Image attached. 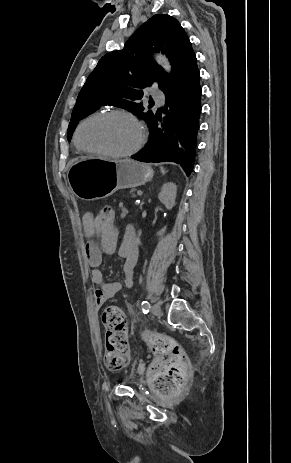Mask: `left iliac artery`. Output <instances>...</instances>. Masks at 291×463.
<instances>
[{
	"mask_svg": "<svg viewBox=\"0 0 291 463\" xmlns=\"http://www.w3.org/2000/svg\"><path fill=\"white\" fill-rule=\"evenodd\" d=\"M141 306H142L143 313L147 314L149 312V309H150V303L147 300H144V301H142Z\"/></svg>",
	"mask_w": 291,
	"mask_h": 463,
	"instance_id": "44dca946",
	"label": "left iliac artery"
}]
</instances>
